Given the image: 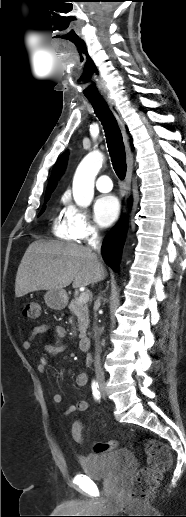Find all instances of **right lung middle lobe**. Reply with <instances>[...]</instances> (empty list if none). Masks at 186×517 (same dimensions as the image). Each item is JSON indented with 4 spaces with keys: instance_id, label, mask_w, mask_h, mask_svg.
I'll list each match as a JSON object with an SVG mask.
<instances>
[{
    "instance_id": "dd1d6c3e",
    "label": "right lung middle lobe",
    "mask_w": 186,
    "mask_h": 517,
    "mask_svg": "<svg viewBox=\"0 0 186 517\" xmlns=\"http://www.w3.org/2000/svg\"><path fill=\"white\" fill-rule=\"evenodd\" d=\"M51 193L52 192H47L46 193V195H45V203L49 200ZM44 210H45V206L42 208V210L40 211L39 215H41Z\"/></svg>"
}]
</instances>
